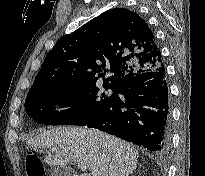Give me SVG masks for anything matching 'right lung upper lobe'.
<instances>
[{
  "instance_id": "1",
  "label": "right lung upper lobe",
  "mask_w": 205,
  "mask_h": 176,
  "mask_svg": "<svg viewBox=\"0 0 205 176\" xmlns=\"http://www.w3.org/2000/svg\"><path fill=\"white\" fill-rule=\"evenodd\" d=\"M160 66L161 52L145 20L128 9H110L57 41L29 93L50 86L96 85L101 78L103 85L117 88ZM109 69L112 75L105 79Z\"/></svg>"
}]
</instances>
